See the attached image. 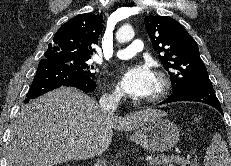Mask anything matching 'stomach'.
Returning <instances> with one entry per match:
<instances>
[{
  "label": "stomach",
  "mask_w": 231,
  "mask_h": 166,
  "mask_svg": "<svg viewBox=\"0 0 231 166\" xmlns=\"http://www.w3.org/2000/svg\"><path fill=\"white\" fill-rule=\"evenodd\" d=\"M179 135L178 126L161 115L143 124L130 140L146 150L165 152L176 145Z\"/></svg>",
  "instance_id": "1"
}]
</instances>
